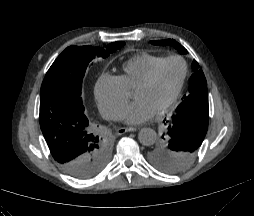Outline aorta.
Returning <instances> with one entry per match:
<instances>
[{
	"mask_svg": "<svg viewBox=\"0 0 254 216\" xmlns=\"http://www.w3.org/2000/svg\"><path fill=\"white\" fill-rule=\"evenodd\" d=\"M157 138L156 132L152 128H142L138 133L139 142L144 146H151Z\"/></svg>",
	"mask_w": 254,
	"mask_h": 216,
	"instance_id": "obj_1",
	"label": "aorta"
}]
</instances>
